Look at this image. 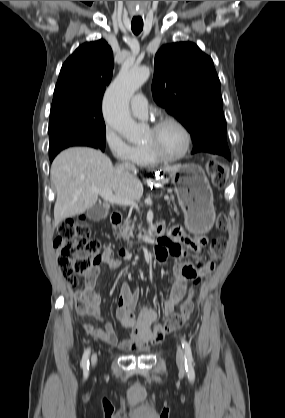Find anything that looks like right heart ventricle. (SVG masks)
I'll list each match as a JSON object with an SVG mask.
<instances>
[{"label": "right heart ventricle", "instance_id": "right-heart-ventricle-1", "mask_svg": "<svg viewBox=\"0 0 285 418\" xmlns=\"http://www.w3.org/2000/svg\"><path fill=\"white\" fill-rule=\"evenodd\" d=\"M135 149L136 162L141 165L151 166L158 164L157 161L152 159L147 153L144 145H133Z\"/></svg>", "mask_w": 285, "mask_h": 418}]
</instances>
